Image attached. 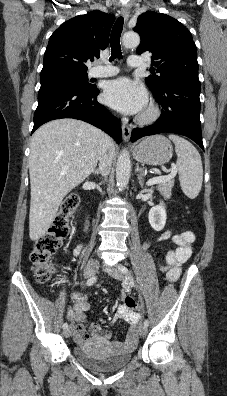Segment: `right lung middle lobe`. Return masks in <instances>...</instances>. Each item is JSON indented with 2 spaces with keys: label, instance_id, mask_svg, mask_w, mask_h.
Listing matches in <instances>:
<instances>
[{
  "label": "right lung middle lobe",
  "instance_id": "right-lung-middle-lobe-1",
  "mask_svg": "<svg viewBox=\"0 0 227 396\" xmlns=\"http://www.w3.org/2000/svg\"><path fill=\"white\" fill-rule=\"evenodd\" d=\"M41 86L53 83H67L82 89H93L95 85L88 82L86 70L69 68H52L42 70L40 74Z\"/></svg>",
  "mask_w": 227,
  "mask_h": 396
}]
</instances>
